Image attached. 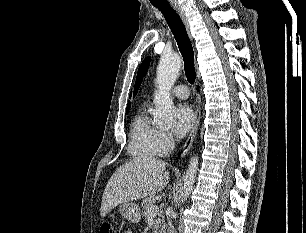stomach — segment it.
I'll list each match as a JSON object with an SVG mask.
<instances>
[{
  "label": "stomach",
  "mask_w": 306,
  "mask_h": 233,
  "mask_svg": "<svg viewBox=\"0 0 306 233\" xmlns=\"http://www.w3.org/2000/svg\"><path fill=\"white\" fill-rule=\"evenodd\" d=\"M118 211L129 222L138 223L141 219L140 208L133 202L122 203Z\"/></svg>",
  "instance_id": "obj_1"
}]
</instances>
